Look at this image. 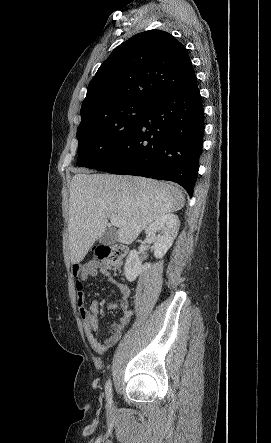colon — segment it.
<instances>
[{
	"label": "colon",
	"mask_w": 271,
	"mask_h": 443,
	"mask_svg": "<svg viewBox=\"0 0 271 443\" xmlns=\"http://www.w3.org/2000/svg\"><path fill=\"white\" fill-rule=\"evenodd\" d=\"M128 249L123 244L105 245L98 249V256L102 258L109 269H117L126 257Z\"/></svg>",
	"instance_id": "5ec220e1"
}]
</instances>
